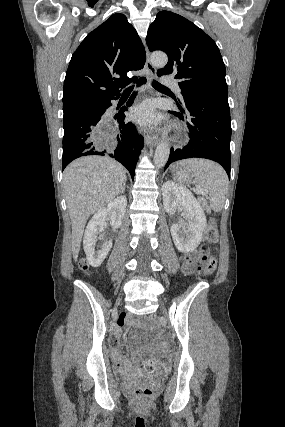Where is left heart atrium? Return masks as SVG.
<instances>
[{
  "label": "left heart atrium",
  "mask_w": 285,
  "mask_h": 427,
  "mask_svg": "<svg viewBox=\"0 0 285 427\" xmlns=\"http://www.w3.org/2000/svg\"><path fill=\"white\" fill-rule=\"evenodd\" d=\"M131 117L142 125H151L158 120L154 107L149 102H144L132 108Z\"/></svg>",
  "instance_id": "left-heart-atrium-1"
}]
</instances>
